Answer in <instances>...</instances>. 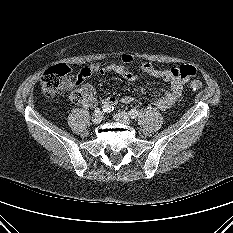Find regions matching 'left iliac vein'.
I'll list each match as a JSON object with an SVG mask.
<instances>
[{
	"mask_svg": "<svg viewBox=\"0 0 233 233\" xmlns=\"http://www.w3.org/2000/svg\"><path fill=\"white\" fill-rule=\"evenodd\" d=\"M114 119L117 122H120L125 125H130L131 124V119L129 115L126 112H118L114 115Z\"/></svg>",
	"mask_w": 233,
	"mask_h": 233,
	"instance_id": "4c4485c4",
	"label": "left iliac vein"
}]
</instances>
